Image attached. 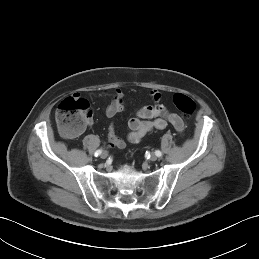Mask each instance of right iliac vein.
Returning <instances> with one entry per match:
<instances>
[{
    "label": "right iliac vein",
    "mask_w": 259,
    "mask_h": 259,
    "mask_svg": "<svg viewBox=\"0 0 259 259\" xmlns=\"http://www.w3.org/2000/svg\"><path fill=\"white\" fill-rule=\"evenodd\" d=\"M100 157H101L102 159H106V158L108 157L107 151L101 152Z\"/></svg>",
    "instance_id": "1"
}]
</instances>
